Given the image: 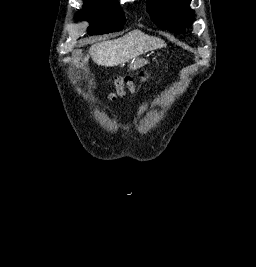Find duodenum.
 I'll list each match as a JSON object with an SVG mask.
<instances>
[{
  "label": "duodenum",
  "mask_w": 256,
  "mask_h": 267,
  "mask_svg": "<svg viewBox=\"0 0 256 267\" xmlns=\"http://www.w3.org/2000/svg\"><path fill=\"white\" fill-rule=\"evenodd\" d=\"M131 70H136V67H131Z\"/></svg>",
  "instance_id": "duodenum-1"
}]
</instances>
